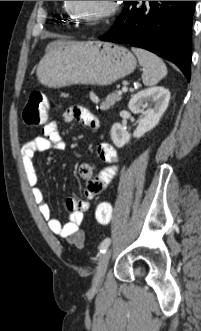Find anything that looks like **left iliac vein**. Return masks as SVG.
Instances as JSON below:
<instances>
[{
	"label": "left iliac vein",
	"mask_w": 201,
	"mask_h": 331,
	"mask_svg": "<svg viewBox=\"0 0 201 331\" xmlns=\"http://www.w3.org/2000/svg\"><path fill=\"white\" fill-rule=\"evenodd\" d=\"M110 256L111 251L110 249H107L106 252L100 257L96 274L93 279V287H99L102 284L107 271Z\"/></svg>",
	"instance_id": "left-iliac-vein-1"
}]
</instances>
